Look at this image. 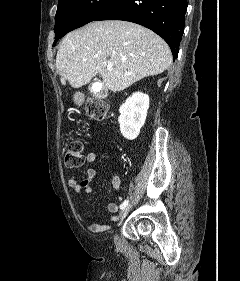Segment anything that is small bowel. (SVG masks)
<instances>
[{"mask_svg":"<svg viewBox=\"0 0 240 281\" xmlns=\"http://www.w3.org/2000/svg\"><path fill=\"white\" fill-rule=\"evenodd\" d=\"M96 159H97V154L95 152L87 153V155H86V161L87 162L92 163ZM107 166L108 167H113V162L108 161ZM96 175H97V172H96L95 169L88 168L86 170V176L83 179H81V180H79L76 176H71L68 179V186L70 188H72L75 191V193H77V194L82 193V192H84V193H91L92 189H93L92 182H93L94 178L96 177ZM112 186H113V188L116 191H120L121 180H120L119 175L113 174ZM118 207L119 206L116 203H109L107 205V209L111 213L117 212L118 211ZM79 214H80L81 218H84V214L81 211H79ZM112 220L116 221L117 220V216H114L112 218ZM87 228L92 233H100V232H104V231L108 230L109 229V225H103V224H99V223H89L87 225Z\"/></svg>","mask_w":240,"mask_h":281,"instance_id":"obj_1","label":"small bowel"}]
</instances>
